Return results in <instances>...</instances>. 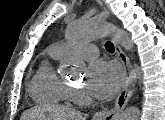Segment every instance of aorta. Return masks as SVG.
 Masks as SVG:
<instances>
[{
  "label": "aorta",
  "instance_id": "obj_1",
  "mask_svg": "<svg viewBox=\"0 0 165 120\" xmlns=\"http://www.w3.org/2000/svg\"><path fill=\"white\" fill-rule=\"evenodd\" d=\"M68 33L73 39H96L105 37L110 33H115L119 39V42L126 50L133 49V44L124 30L101 19L73 21L69 24ZM70 64L71 68L72 66L78 68L82 67L81 63L71 62ZM139 117V109L137 107H130L122 113L120 120H139Z\"/></svg>",
  "mask_w": 165,
  "mask_h": 120
}]
</instances>
